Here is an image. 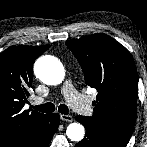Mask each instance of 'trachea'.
<instances>
[{"instance_id": "obj_1", "label": "trachea", "mask_w": 147, "mask_h": 147, "mask_svg": "<svg viewBox=\"0 0 147 147\" xmlns=\"http://www.w3.org/2000/svg\"><path fill=\"white\" fill-rule=\"evenodd\" d=\"M35 110L42 112V113H50L53 112L55 110V106L53 103H45L42 105H36V106H32ZM58 111L61 114L67 115L69 112L68 107L65 104H60L58 106Z\"/></svg>"}]
</instances>
